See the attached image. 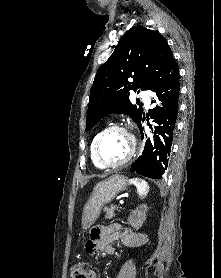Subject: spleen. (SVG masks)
I'll return each mask as SVG.
<instances>
[{
  "mask_svg": "<svg viewBox=\"0 0 221 278\" xmlns=\"http://www.w3.org/2000/svg\"><path fill=\"white\" fill-rule=\"evenodd\" d=\"M129 182L136 186L137 192L141 198L146 197L147 193L149 192V185L145 180L142 179H130Z\"/></svg>",
  "mask_w": 221,
  "mask_h": 278,
  "instance_id": "spleen-1",
  "label": "spleen"
}]
</instances>
